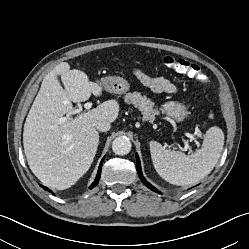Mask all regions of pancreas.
<instances>
[{
	"label": "pancreas",
	"instance_id": "cf45deb5",
	"mask_svg": "<svg viewBox=\"0 0 249 249\" xmlns=\"http://www.w3.org/2000/svg\"><path fill=\"white\" fill-rule=\"evenodd\" d=\"M124 99L126 103L133 104L138 108L142 112L144 119L148 120L159 114V111L154 108V102L142 96L139 92L127 93Z\"/></svg>",
	"mask_w": 249,
	"mask_h": 249
}]
</instances>
